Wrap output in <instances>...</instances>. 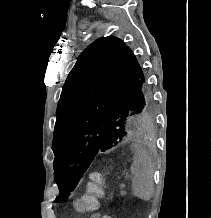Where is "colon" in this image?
Segmentation results:
<instances>
[{
    "mask_svg": "<svg viewBox=\"0 0 211 218\" xmlns=\"http://www.w3.org/2000/svg\"><path fill=\"white\" fill-rule=\"evenodd\" d=\"M91 182L88 192L85 196L76 202V207L79 210H92L96 207L99 196L102 193V175L98 172H93L90 175ZM103 218H113L110 215H105Z\"/></svg>",
    "mask_w": 211,
    "mask_h": 218,
    "instance_id": "obj_1",
    "label": "colon"
}]
</instances>
